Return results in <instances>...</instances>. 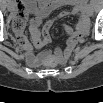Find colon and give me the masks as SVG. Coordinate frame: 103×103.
<instances>
[{
	"mask_svg": "<svg viewBox=\"0 0 103 103\" xmlns=\"http://www.w3.org/2000/svg\"><path fill=\"white\" fill-rule=\"evenodd\" d=\"M27 16H24L23 18H17L15 20V23L19 26H24L25 25V21H26ZM55 64V61L52 59H47V65L48 66H53Z\"/></svg>",
	"mask_w": 103,
	"mask_h": 103,
	"instance_id": "1",
	"label": "colon"
}]
</instances>
